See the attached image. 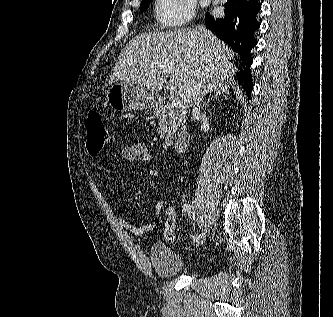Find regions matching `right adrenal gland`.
Wrapping results in <instances>:
<instances>
[{
	"label": "right adrenal gland",
	"mask_w": 333,
	"mask_h": 317,
	"mask_svg": "<svg viewBox=\"0 0 333 317\" xmlns=\"http://www.w3.org/2000/svg\"><path fill=\"white\" fill-rule=\"evenodd\" d=\"M225 95V96H228L230 93H229V90L227 87H219L217 90L214 91V94L208 98L207 102L203 104V108L206 107L208 105V103L214 99V98H217L218 95Z\"/></svg>",
	"instance_id": "obj_1"
}]
</instances>
